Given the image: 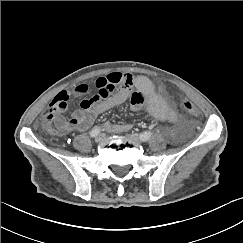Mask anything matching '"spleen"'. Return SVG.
Listing matches in <instances>:
<instances>
[{
    "instance_id": "obj_1",
    "label": "spleen",
    "mask_w": 243,
    "mask_h": 243,
    "mask_svg": "<svg viewBox=\"0 0 243 243\" xmlns=\"http://www.w3.org/2000/svg\"><path fill=\"white\" fill-rule=\"evenodd\" d=\"M133 89L144 102L149 117L156 124H165L170 119V110L163 95L147 75H138L133 80ZM164 138L169 143H178L183 138V129L178 124H169L164 129Z\"/></svg>"
}]
</instances>
